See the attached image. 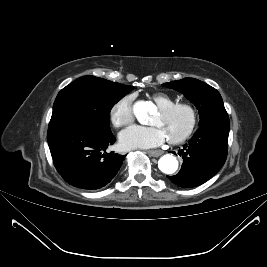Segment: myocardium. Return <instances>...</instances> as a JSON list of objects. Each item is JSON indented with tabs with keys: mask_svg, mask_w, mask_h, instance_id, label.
Returning a JSON list of instances; mask_svg holds the SVG:
<instances>
[{
	"mask_svg": "<svg viewBox=\"0 0 267 267\" xmlns=\"http://www.w3.org/2000/svg\"><path fill=\"white\" fill-rule=\"evenodd\" d=\"M186 109L189 114H190V123L187 127V129L179 136L177 137H173V138H168V141L171 144H179L182 143L184 141H186L195 131L197 124H198V112L197 109L188 102H175L171 105L159 108V112L162 115H168L170 113H172L173 111L177 110V109Z\"/></svg>",
	"mask_w": 267,
	"mask_h": 267,
	"instance_id": "obj_1",
	"label": "myocardium"
}]
</instances>
